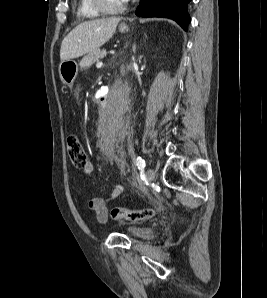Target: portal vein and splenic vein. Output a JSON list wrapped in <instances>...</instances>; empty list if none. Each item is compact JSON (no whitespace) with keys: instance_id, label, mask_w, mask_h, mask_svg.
Returning a JSON list of instances; mask_svg holds the SVG:
<instances>
[{"instance_id":"1","label":"portal vein and splenic vein","mask_w":267,"mask_h":298,"mask_svg":"<svg viewBox=\"0 0 267 298\" xmlns=\"http://www.w3.org/2000/svg\"><path fill=\"white\" fill-rule=\"evenodd\" d=\"M102 65V63L101 62H98L97 64H96V67H100Z\"/></svg>"}]
</instances>
